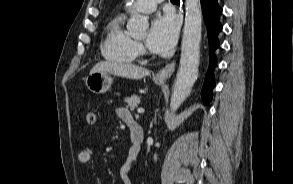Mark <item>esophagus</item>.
I'll return each mask as SVG.
<instances>
[{"instance_id":"1","label":"esophagus","mask_w":293,"mask_h":184,"mask_svg":"<svg viewBox=\"0 0 293 184\" xmlns=\"http://www.w3.org/2000/svg\"><path fill=\"white\" fill-rule=\"evenodd\" d=\"M176 63L175 61H172L168 63L165 67H163L157 74L156 79L158 80H166L171 77V75L175 71Z\"/></svg>"}]
</instances>
